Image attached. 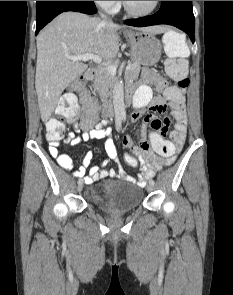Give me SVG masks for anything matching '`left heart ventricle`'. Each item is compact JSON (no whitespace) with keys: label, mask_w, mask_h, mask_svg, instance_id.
Returning <instances> with one entry per match:
<instances>
[{"label":"left heart ventricle","mask_w":233,"mask_h":295,"mask_svg":"<svg viewBox=\"0 0 233 295\" xmlns=\"http://www.w3.org/2000/svg\"><path fill=\"white\" fill-rule=\"evenodd\" d=\"M155 1H127L129 7L136 12H146L152 8Z\"/></svg>","instance_id":"obj_1"}]
</instances>
